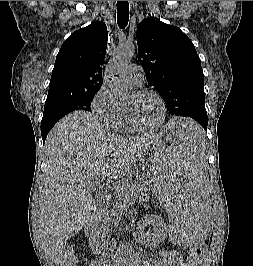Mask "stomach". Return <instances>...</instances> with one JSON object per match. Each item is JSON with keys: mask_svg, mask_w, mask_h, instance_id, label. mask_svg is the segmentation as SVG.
<instances>
[{"mask_svg": "<svg viewBox=\"0 0 253 266\" xmlns=\"http://www.w3.org/2000/svg\"><path fill=\"white\" fill-rule=\"evenodd\" d=\"M164 153H168V148L163 141L158 140L148 145L144 155L139 159L141 168L151 176H156L159 169L155 168V161L161 160Z\"/></svg>", "mask_w": 253, "mask_h": 266, "instance_id": "1", "label": "stomach"}]
</instances>
